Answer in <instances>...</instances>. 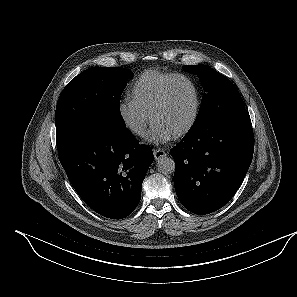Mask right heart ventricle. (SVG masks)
<instances>
[{
  "instance_id": "e07e8e85",
  "label": "right heart ventricle",
  "mask_w": 297,
  "mask_h": 297,
  "mask_svg": "<svg viewBox=\"0 0 297 297\" xmlns=\"http://www.w3.org/2000/svg\"><path fill=\"white\" fill-rule=\"evenodd\" d=\"M175 75L177 74L157 70L142 73L131 85V98L149 114L163 87Z\"/></svg>"
}]
</instances>
